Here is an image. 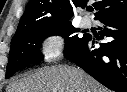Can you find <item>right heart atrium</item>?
<instances>
[{
	"label": "right heart atrium",
	"mask_w": 127,
	"mask_h": 92,
	"mask_svg": "<svg viewBox=\"0 0 127 92\" xmlns=\"http://www.w3.org/2000/svg\"><path fill=\"white\" fill-rule=\"evenodd\" d=\"M66 46L65 35L59 30L44 34L40 44L41 61L45 64L56 62L63 54Z\"/></svg>",
	"instance_id": "obj_1"
}]
</instances>
